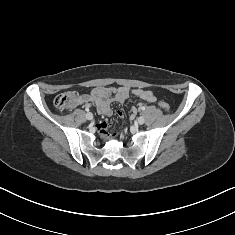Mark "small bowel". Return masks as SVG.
I'll return each mask as SVG.
<instances>
[{
  "instance_id": "c3829d8e",
  "label": "small bowel",
  "mask_w": 235,
  "mask_h": 235,
  "mask_svg": "<svg viewBox=\"0 0 235 235\" xmlns=\"http://www.w3.org/2000/svg\"><path fill=\"white\" fill-rule=\"evenodd\" d=\"M131 95H134L148 103H154L156 97L149 90L140 88L129 89L127 87L113 88V87H98L92 90L88 94H83L79 98V103H93L98 112L110 116L112 114L111 104L117 102L124 104L131 99ZM117 114L122 117L123 113L118 111ZM131 116H135L136 109L132 108L130 112ZM108 126V123L103 121L96 125L97 130L103 131Z\"/></svg>"
}]
</instances>
